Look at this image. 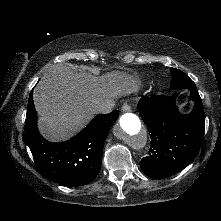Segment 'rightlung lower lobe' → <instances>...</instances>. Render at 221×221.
Masks as SVG:
<instances>
[{
    "instance_id": "obj_1",
    "label": "right lung lower lobe",
    "mask_w": 221,
    "mask_h": 221,
    "mask_svg": "<svg viewBox=\"0 0 221 221\" xmlns=\"http://www.w3.org/2000/svg\"><path fill=\"white\" fill-rule=\"evenodd\" d=\"M118 116V110L97 115L75 137L51 143L38 132L32 91L25 121L27 143L39 168L50 180L65 186L86 185L100 172L104 142Z\"/></svg>"
}]
</instances>
